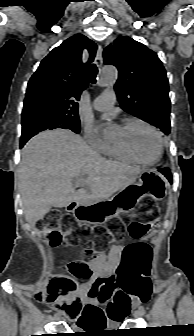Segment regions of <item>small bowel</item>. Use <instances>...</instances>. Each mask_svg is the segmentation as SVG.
Instances as JSON below:
<instances>
[{
  "mask_svg": "<svg viewBox=\"0 0 194 336\" xmlns=\"http://www.w3.org/2000/svg\"><path fill=\"white\" fill-rule=\"evenodd\" d=\"M126 246L115 243L106 254L97 257L91 265L92 275L77 290L79 296L84 300V310L78 321V326L85 328L87 324L97 325L106 323L111 317L110 305L111 295L103 287L109 279L113 278L118 269ZM151 267V255L149 269L147 272H140L137 275V287L149 289L148 276ZM96 291L97 295L92 296L91 292Z\"/></svg>",
  "mask_w": 194,
  "mask_h": 336,
  "instance_id": "small-bowel-1",
  "label": "small bowel"
}]
</instances>
